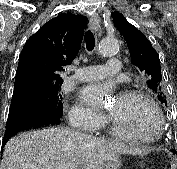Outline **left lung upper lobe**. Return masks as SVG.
<instances>
[{"label":"left lung upper lobe","instance_id":"5c2ea615","mask_svg":"<svg viewBox=\"0 0 177 169\" xmlns=\"http://www.w3.org/2000/svg\"><path fill=\"white\" fill-rule=\"evenodd\" d=\"M111 16L127 43L134 65L139 69L148 87L157 94L160 102L167 106L157 52L143 33L130 24L121 13L113 12Z\"/></svg>","mask_w":177,"mask_h":169}]
</instances>
